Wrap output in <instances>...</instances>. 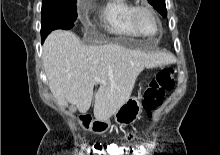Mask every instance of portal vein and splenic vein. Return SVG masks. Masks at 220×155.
I'll use <instances>...</instances> for the list:
<instances>
[{"label": "portal vein and splenic vein", "mask_w": 220, "mask_h": 155, "mask_svg": "<svg viewBox=\"0 0 220 155\" xmlns=\"http://www.w3.org/2000/svg\"><path fill=\"white\" fill-rule=\"evenodd\" d=\"M95 81H96V82H100L101 80H100L99 77L96 76V77H95Z\"/></svg>", "instance_id": "obj_1"}]
</instances>
